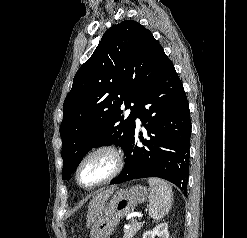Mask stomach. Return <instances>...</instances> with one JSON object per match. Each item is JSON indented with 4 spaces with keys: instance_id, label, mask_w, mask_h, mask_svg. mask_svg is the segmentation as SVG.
<instances>
[{
    "instance_id": "obj_1",
    "label": "stomach",
    "mask_w": 247,
    "mask_h": 238,
    "mask_svg": "<svg viewBox=\"0 0 247 238\" xmlns=\"http://www.w3.org/2000/svg\"><path fill=\"white\" fill-rule=\"evenodd\" d=\"M148 197V189L142 185L116 191L94 221L91 238H109L119 221Z\"/></svg>"
}]
</instances>
